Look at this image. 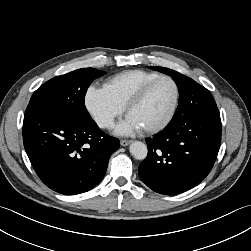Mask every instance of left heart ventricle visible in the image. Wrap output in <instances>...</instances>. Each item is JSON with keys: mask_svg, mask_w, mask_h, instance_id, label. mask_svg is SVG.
I'll use <instances>...</instances> for the list:
<instances>
[{"mask_svg": "<svg viewBox=\"0 0 251 251\" xmlns=\"http://www.w3.org/2000/svg\"><path fill=\"white\" fill-rule=\"evenodd\" d=\"M174 88L170 81L161 80L154 84L144 99L133 107L128 116L133 119L142 130L161 123L172 107Z\"/></svg>", "mask_w": 251, "mask_h": 251, "instance_id": "b2bd125f", "label": "left heart ventricle"}]
</instances>
